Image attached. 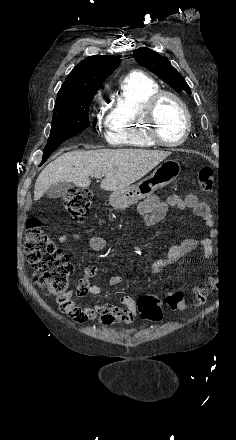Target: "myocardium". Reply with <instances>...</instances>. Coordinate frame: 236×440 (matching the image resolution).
<instances>
[{"label":"myocardium","mask_w":236,"mask_h":440,"mask_svg":"<svg viewBox=\"0 0 236 440\" xmlns=\"http://www.w3.org/2000/svg\"><path fill=\"white\" fill-rule=\"evenodd\" d=\"M164 98H171L174 101H176L184 113V117H185L184 132L182 137L176 141H166L162 139L159 132L156 112L160 102ZM143 120L146 124V133L149 139L156 145L164 146V147H174L183 144L188 139L192 126L190 111L187 105L185 104V102L182 100V98L179 95H177L172 91H167V90H159L147 100L143 111Z\"/></svg>","instance_id":"myocardium-1"}]
</instances>
